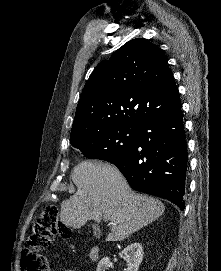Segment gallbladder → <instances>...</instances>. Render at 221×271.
Segmentation results:
<instances>
[{"instance_id":"1","label":"gallbladder","mask_w":221,"mask_h":271,"mask_svg":"<svg viewBox=\"0 0 221 271\" xmlns=\"http://www.w3.org/2000/svg\"><path fill=\"white\" fill-rule=\"evenodd\" d=\"M96 227H98V225H96ZM93 229H95V225H93Z\"/></svg>"}]
</instances>
